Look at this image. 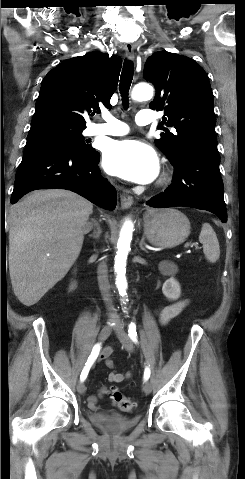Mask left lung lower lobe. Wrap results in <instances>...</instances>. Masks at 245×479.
I'll return each mask as SVG.
<instances>
[{
	"instance_id": "1",
	"label": "left lung lower lobe",
	"mask_w": 245,
	"mask_h": 479,
	"mask_svg": "<svg viewBox=\"0 0 245 479\" xmlns=\"http://www.w3.org/2000/svg\"><path fill=\"white\" fill-rule=\"evenodd\" d=\"M219 161L217 148L185 153L172 164L175 168L172 184L147 204L155 208L186 206L207 210L227 222Z\"/></svg>"
}]
</instances>
